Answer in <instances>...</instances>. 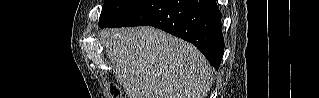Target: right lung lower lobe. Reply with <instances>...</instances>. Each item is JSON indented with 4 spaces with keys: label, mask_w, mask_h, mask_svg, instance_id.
<instances>
[{
    "label": "right lung lower lobe",
    "mask_w": 319,
    "mask_h": 98,
    "mask_svg": "<svg viewBox=\"0 0 319 98\" xmlns=\"http://www.w3.org/2000/svg\"><path fill=\"white\" fill-rule=\"evenodd\" d=\"M150 25L193 43L218 69L224 53L221 13L215 0H147L105 27Z\"/></svg>",
    "instance_id": "right-lung-lower-lobe-1"
}]
</instances>
